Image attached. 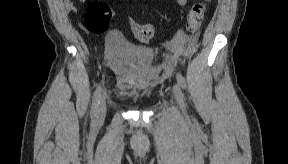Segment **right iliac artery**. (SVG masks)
<instances>
[{
    "mask_svg": "<svg viewBox=\"0 0 288 164\" xmlns=\"http://www.w3.org/2000/svg\"><path fill=\"white\" fill-rule=\"evenodd\" d=\"M101 92H102V89H101V86L99 85L96 88L94 96H93V102H92V108H91V118L93 121H95L97 118V110H98V105H99L100 98H101Z\"/></svg>",
    "mask_w": 288,
    "mask_h": 164,
    "instance_id": "right-iliac-artery-1",
    "label": "right iliac artery"
}]
</instances>
